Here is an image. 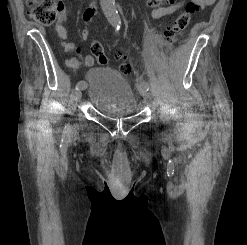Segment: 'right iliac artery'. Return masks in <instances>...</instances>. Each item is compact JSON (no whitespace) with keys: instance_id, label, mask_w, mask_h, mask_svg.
I'll return each mask as SVG.
<instances>
[{"instance_id":"1","label":"right iliac artery","mask_w":247,"mask_h":245,"mask_svg":"<svg viewBox=\"0 0 247 245\" xmlns=\"http://www.w3.org/2000/svg\"><path fill=\"white\" fill-rule=\"evenodd\" d=\"M118 30H119V28L117 27L116 31H118ZM81 86L86 87L87 83L84 81H79L76 85V90H78Z\"/></svg>"}]
</instances>
